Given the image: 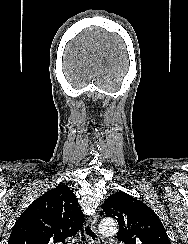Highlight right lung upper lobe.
<instances>
[{
	"mask_svg": "<svg viewBox=\"0 0 188 244\" xmlns=\"http://www.w3.org/2000/svg\"><path fill=\"white\" fill-rule=\"evenodd\" d=\"M84 215L67 185H59L36 199L19 217L8 244H56L75 236Z\"/></svg>",
	"mask_w": 188,
	"mask_h": 244,
	"instance_id": "1",
	"label": "right lung upper lobe"
}]
</instances>
